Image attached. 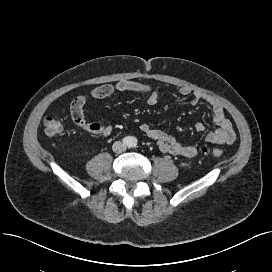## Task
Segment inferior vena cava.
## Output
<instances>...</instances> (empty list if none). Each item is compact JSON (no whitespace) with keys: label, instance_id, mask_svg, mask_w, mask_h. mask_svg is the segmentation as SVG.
I'll return each mask as SVG.
<instances>
[{"label":"inferior vena cava","instance_id":"inferior-vena-cava-1","mask_svg":"<svg viewBox=\"0 0 272 272\" xmlns=\"http://www.w3.org/2000/svg\"><path fill=\"white\" fill-rule=\"evenodd\" d=\"M112 149L116 153H122L126 150V146L122 142L116 141L113 143Z\"/></svg>","mask_w":272,"mask_h":272}]
</instances>
